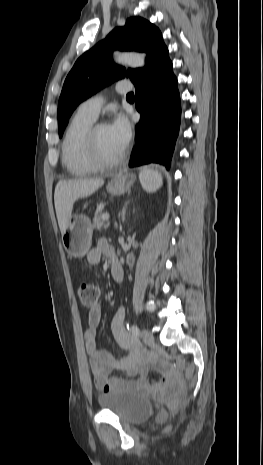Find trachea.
<instances>
[{"mask_svg":"<svg viewBox=\"0 0 263 465\" xmlns=\"http://www.w3.org/2000/svg\"><path fill=\"white\" fill-rule=\"evenodd\" d=\"M127 97H134V93H132V92H131V93H128V94H127Z\"/></svg>","mask_w":263,"mask_h":465,"instance_id":"1","label":"trachea"}]
</instances>
